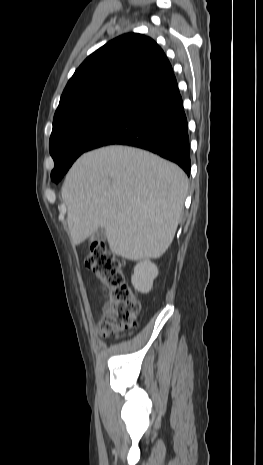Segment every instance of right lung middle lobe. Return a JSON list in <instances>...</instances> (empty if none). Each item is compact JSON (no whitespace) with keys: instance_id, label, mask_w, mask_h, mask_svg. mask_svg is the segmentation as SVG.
<instances>
[{"instance_id":"1","label":"right lung middle lobe","mask_w":263,"mask_h":465,"mask_svg":"<svg viewBox=\"0 0 263 465\" xmlns=\"http://www.w3.org/2000/svg\"><path fill=\"white\" fill-rule=\"evenodd\" d=\"M135 97L107 96L74 106L54 117L49 141L55 167L51 179L58 182L73 162L131 106Z\"/></svg>"}]
</instances>
